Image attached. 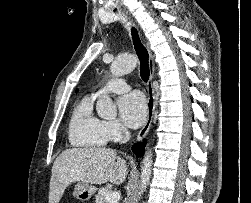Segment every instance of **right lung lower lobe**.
<instances>
[{
	"label": "right lung lower lobe",
	"mask_w": 251,
	"mask_h": 203,
	"mask_svg": "<svg viewBox=\"0 0 251 203\" xmlns=\"http://www.w3.org/2000/svg\"><path fill=\"white\" fill-rule=\"evenodd\" d=\"M144 147L145 145L143 143H137L133 146V151L137 156H143L144 154Z\"/></svg>",
	"instance_id": "obj_1"
}]
</instances>
